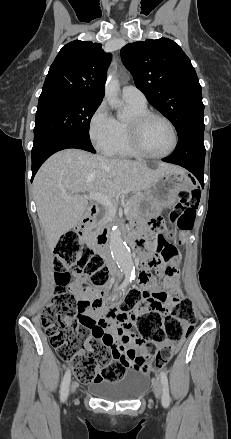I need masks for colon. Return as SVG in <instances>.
Returning a JSON list of instances; mask_svg holds the SVG:
<instances>
[{"instance_id": "colon-1", "label": "colon", "mask_w": 231, "mask_h": 439, "mask_svg": "<svg viewBox=\"0 0 231 439\" xmlns=\"http://www.w3.org/2000/svg\"><path fill=\"white\" fill-rule=\"evenodd\" d=\"M181 202L171 216V222L180 232L192 230L198 207L199 193L188 189L180 192ZM177 260V249L172 246L160 253V272L170 274L169 263ZM155 262H151L154 264ZM55 280L58 289L52 303L42 312L41 323L59 358L69 362L76 375L83 381L120 380L128 363L118 354L101 344H91V328L82 313L89 303L67 289L70 271L82 275V289L89 293L99 292L108 282L109 271L102 256L84 243L74 232L62 236L55 249ZM144 286L153 287L148 274L140 277ZM143 292L130 289L120 303L122 314L135 323L140 342L146 343V354L136 355L134 368L144 372L158 370L170 362L177 350L176 345L187 337L196 322L189 298L183 297L167 312L150 310L138 314ZM96 303L91 304L95 306ZM170 345L159 348L158 345ZM86 352L82 353V350Z\"/></svg>"}]
</instances>
